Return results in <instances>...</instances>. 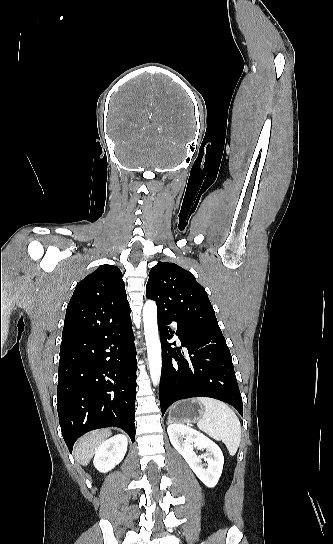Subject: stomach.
<instances>
[{"instance_id":"obj_1","label":"stomach","mask_w":333,"mask_h":544,"mask_svg":"<svg viewBox=\"0 0 333 544\" xmlns=\"http://www.w3.org/2000/svg\"><path fill=\"white\" fill-rule=\"evenodd\" d=\"M204 412L196 399L178 402L170 409L169 419L173 422H196Z\"/></svg>"}]
</instances>
